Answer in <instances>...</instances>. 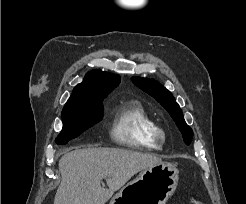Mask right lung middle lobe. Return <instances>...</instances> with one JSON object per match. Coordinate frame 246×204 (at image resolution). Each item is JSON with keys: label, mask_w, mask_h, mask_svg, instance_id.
<instances>
[{"label": "right lung middle lobe", "mask_w": 246, "mask_h": 204, "mask_svg": "<svg viewBox=\"0 0 246 204\" xmlns=\"http://www.w3.org/2000/svg\"><path fill=\"white\" fill-rule=\"evenodd\" d=\"M94 97L83 103L65 105L62 111L63 128L56 138L57 144H66L103 118V99Z\"/></svg>", "instance_id": "1"}]
</instances>
